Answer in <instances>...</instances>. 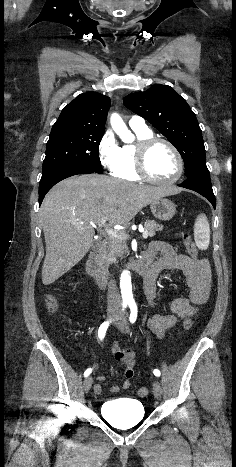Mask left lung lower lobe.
Wrapping results in <instances>:
<instances>
[{"mask_svg":"<svg viewBox=\"0 0 236 467\" xmlns=\"http://www.w3.org/2000/svg\"><path fill=\"white\" fill-rule=\"evenodd\" d=\"M178 186L196 191L197 193L206 197L215 208V196L212 190L209 170L192 174Z\"/></svg>","mask_w":236,"mask_h":467,"instance_id":"left-lung-lower-lobe-1","label":"left lung lower lobe"}]
</instances>
